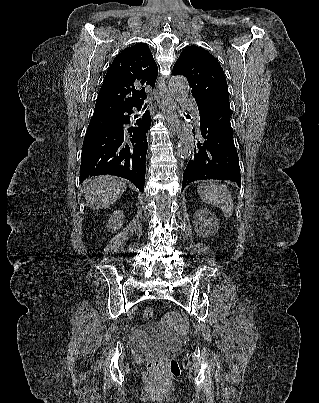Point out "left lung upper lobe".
Wrapping results in <instances>:
<instances>
[{
	"label": "left lung upper lobe",
	"mask_w": 319,
	"mask_h": 403,
	"mask_svg": "<svg viewBox=\"0 0 319 403\" xmlns=\"http://www.w3.org/2000/svg\"><path fill=\"white\" fill-rule=\"evenodd\" d=\"M173 74L184 75L197 102L218 101L229 104V92L223 69L206 50L186 47L173 67Z\"/></svg>",
	"instance_id": "1"
}]
</instances>
